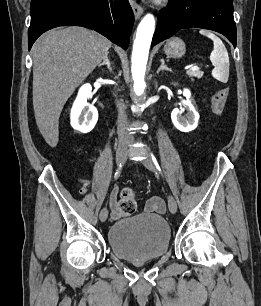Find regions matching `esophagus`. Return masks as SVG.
<instances>
[{
	"label": "esophagus",
	"instance_id": "34e87169",
	"mask_svg": "<svg viewBox=\"0 0 261 306\" xmlns=\"http://www.w3.org/2000/svg\"><path fill=\"white\" fill-rule=\"evenodd\" d=\"M130 4L136 19H139L143 14V8L135 0H130Z\"/></svg>",
	"mask_w": 261,
	"mask_h": 306
}]
</instances>
